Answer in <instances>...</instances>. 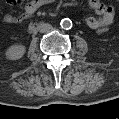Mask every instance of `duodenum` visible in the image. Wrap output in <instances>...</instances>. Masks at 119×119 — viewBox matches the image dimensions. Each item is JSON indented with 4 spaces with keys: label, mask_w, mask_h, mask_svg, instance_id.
<instances>
[{
    "label": "duodenum",
    "mask_w": 119,
    "mask_h": 119,
    "mask_svg": "<svg viewBox=\"0 0 119 119\" xmlns=\"http://www.w3.org/2000/svg\"><path fill=\"white\" fill-rule=\"evenodd\" d=\"M39 26H40V23L32 24L29 28V31L34 32L39 28Z\"/></svg>",
    "instance_id": "obj_1"
}]
</instances>
